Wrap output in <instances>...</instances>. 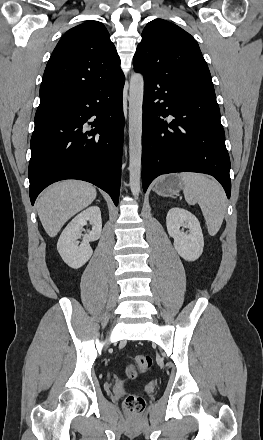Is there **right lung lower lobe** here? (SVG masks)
<instances>
[{
    "label": "right lung lower lobe",
    "instance_id": "obj_1",
    "mask_svg": "<svg viewBox=\"0 0 263 440\" xmlns=\"http://www.w3.org/2000/svg\"><path fill=\"white\" fill-rule=\"evenodd\" d=\"M123 86L121 78L68 96L35 121L28 169L32 205L44 188L63 179L93 183L118 204ZM90 119L94 121L88 122Z\"/></svg>",
    "mask_w": 263,
    "mask_h": 440
}]
</instances>
